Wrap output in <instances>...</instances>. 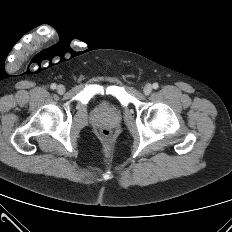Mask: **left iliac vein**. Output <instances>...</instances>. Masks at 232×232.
<instances>
[{
  "label": "left iliac vein",
  "instance_id": "left-iliac-vein-1",
  "mask_svg": "<svg viewBox=\"0 0 232 232\" xmlns=\"http://www.w3.org/2000/svg\"><path fill=\"white\" fill-rule=\"evenodd\" d=\"M143 92H144L145 95H149L152 92V86H151V84H146L143 87Z\"/></svg>",
  "mask_w": 232,
  "mask_h": 232
}]
</instances>
